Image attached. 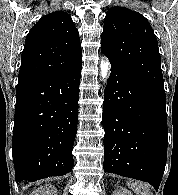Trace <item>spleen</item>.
I'll use <instances>...</instances> for the list:
<instances>
[{"label":"spleen","instance_id":"spleen-1","mask_svg":"<svg viewBox=\"0 0 178 195\" xmlns=\"http://www.w3.org/2000/svg\"><path fill=\"white\" fill-rule=\"evenodd\" d=\"M127 186L132 189L136 195H153L149 185L146 183L139 181H128Z\"/></svg>","mask_w":178,"mask_h":195}]
</instances>
